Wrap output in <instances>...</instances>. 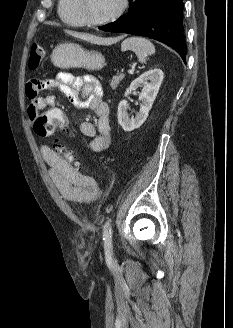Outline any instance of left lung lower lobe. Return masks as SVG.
Masks as SVG:
<instances>
[{"label":"left lung lower lobe","instance_id":"left-lung-lower-lobe-1","mask_svg":"<svg viewBox=\"0 0 233 328\" xmlns=\"http://www.w3.org/2000/svg\"><path fill=\"white\" fill-rule=\"evenodd\" d=\"M130 3L128 13L123 18L99 29L155 39L176 50L185 62L183 0H130Z\"/></svg>","mask_w":233,"mask_h":328}]
</instances>
